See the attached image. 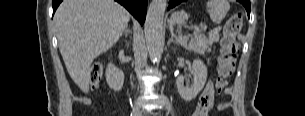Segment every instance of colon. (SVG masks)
Wrapping results in <instances>:
<instances>
[{
	"instance_id": "1",
	"label": "colon",
	"mask_w": 305,
	"mask_h": 116,
	"mask_svg": "<svg viewBox=\"0 0 305 116\" xmlns=\"http://www.w3.org/2000/svg\"><path fill=\"white\" fill-rule=\"evenodd\" d=\"M242 26L240 14H233L226 21L221 40V52L217 59V78L215 88L221 93L228 84V79L233 74L238 54L237 35ZM104 67L100 63L91 66L89 80L92 89H95L103 75Z\"/></svg>"
}]
</instances>
